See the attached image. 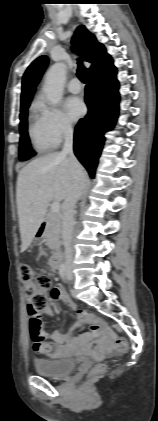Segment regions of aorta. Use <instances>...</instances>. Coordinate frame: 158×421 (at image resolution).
<instances>
[{
    "label": "aorta",
    "instance_id": "obj_1",
    "mask_svg": "<svg viewBox=\"0 0 158 421\" xmlns=\"http://www.w3.org/2000/svg\"><path fill=\"white\" fill-rule=\"evenodd\" d=\"M66 66L63 63L54 64L46 73L43 91L52 105H57L63 97Z\"/></svg>",
    "mask_w": 158,
    "mask_h": 421
}]
</instances>
